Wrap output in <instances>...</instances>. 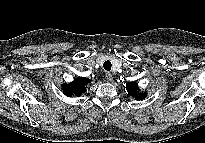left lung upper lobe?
<instances>
[{"mask_svg": "<svg viewBox=\"0 0 205 143\" xmlns=\"http://www.w3.org/2000/svg\"><path fill=\"white\" fill-rule=\"evenodd\" d=\"M126 90L128 91L129 95H134L135 98H137V99H144L146 97V93L145 92L137 94L138 87L133 82H129L127 84Z\"/></svg>", "mask_w": 205, "mask_h": 143, "instance_id": "left-lung-upper-lobe-1", "label": "left lung upper lobe"}]
</instances>
